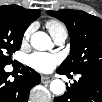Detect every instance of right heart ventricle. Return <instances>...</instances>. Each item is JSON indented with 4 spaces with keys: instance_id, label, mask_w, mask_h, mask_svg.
Segmentation results:
<instances>
[{
    "instance_id": "obj_1",
    "label": "right heart ventricle",
    "mask_w": 102,
    "mask_h": 102,
    "mask_svg": "<svg viewBox=\"0 0 102 102\" xmlns=\"http://www.w3.org/2000/svg\"><path fill=\"white\" fill-rule=\"evenodd\" d=\"M45 26L49 30L52 37H55L62 33L67 35V28L60 20L50 19L45 23Z\"/></svg>"
}]
</instances>
